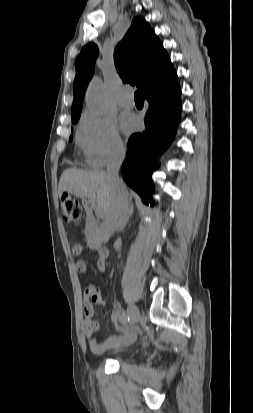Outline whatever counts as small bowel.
Listing matches in <instances>:
<instances>
[{
  "instance_id": "c3829d8e",
  "label": "small bowel",
  "mask_w": 253,
  "mask_h": 413,
  "mask_svg": "<svg viewBox=\"0 0 253 413\" xmlns=\"http://www.w3.org/2000/svg\"><path fill=\"white\" fill-rule=\"evenodd\" d=\"M87 249L88 246L86 244H76L73 247V253L75 256H79ZM97 254L98 259L96 267L98 271L102 273L106 269V260L108 257V252L106 254H101L97 251ZM74 266L78 272L83 274L87 273V267L83 261L77 260ZM96 290L97 289L95 285L87 282L84 294V331L91 352L94 354H101L109 349L130 345L136 339V330L133 328L121 327L117 324L116 320L118 317H120V309L118 306L113 307L111 311V317L114 321L115 328L119 332V334L112 335L103 341H99L95 337V333L99 329V323L94 319V308L90 302V296L91 293Z\"/></svg>"
}]
</instances>
